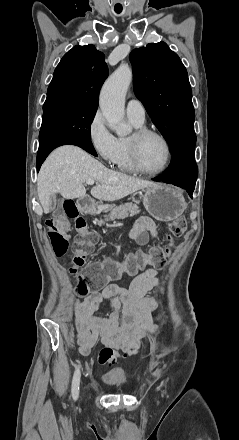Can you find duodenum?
Listing matches in <instances>:
<instances>
[{
    "mask_svg": "<svg viewBox=\"0 0 239 440\" xmlns=\"http://www.w3.org/2000/svg\"><path fill=\"white\" fill-rule=\"evenodd\" d=\"M78 206L79 209L83 212V213H88L90 212L91 209V201L90 198L87 196H83L81 198H79L78 200Z\"/></svg>",
    "mask_w": 239,
    "mask_h": 440,
    "instance_id": "410a0bca",
    "label": "duodenum"
}]
</instances>
